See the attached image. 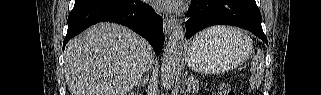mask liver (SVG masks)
Wrapping results in <instances>:
<instances>
[{
  "label": "liver",
  "mask_w": 321,
  "mask_h": 95,
  "mask_svg": "<svg viewBox=\"0 0 321 95\" xmlns=\"http://www.w3.org/2000/svg\"><path fill=\"white\" fill-rule=\"evenodd\" d=\"M153 63L152 49L141 36L99 23L67 43L64 73L71 95H127Z\"/></svg>",
  "instance_id": "obj_1"
}]
</instances>
